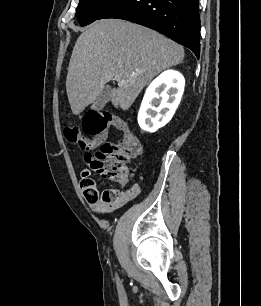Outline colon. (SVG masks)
Here are the masks:
<instances>
[{
    "label": "colon",
    "mask_w": 261,
    "mask_h": 306,
    "mask_svg": "<svg viewBox=\"0 0 261 306\" xmlns=\"http://www.w3.org/2000/svg\"><path fill=\"white\" fill-rule=\"evenodd\" d=\"M110 127L123 132L122 138L117 143L105 142ZM82 129L91 138L85 137L79 127L72 124L64 128V135L69 142L77 144L86 151L85 161L89 169L123 187H128L131 181L129 163L140 155L141 144L125 121L109 112L92 111L84 116ZM98 146L99 150L92 154L90 151ZM80 185L85 200L90 204L111 203L118 195L116 190H106L100 194L87 169L81 172Z\"/></svg>",
    "instance_id": "1"
}]
</instances>
